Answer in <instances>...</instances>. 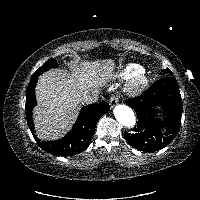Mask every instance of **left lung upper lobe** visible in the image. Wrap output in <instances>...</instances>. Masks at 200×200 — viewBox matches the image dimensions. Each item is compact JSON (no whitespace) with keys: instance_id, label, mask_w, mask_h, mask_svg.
<instances>
[{"instance_id":"1","label":"left lung upper lobe","mask_w":200,"mask_h":200,"mask_svg":"<svg viewBox=\"0 0 200 200\" xmlns=\"http://www.w3.org/2000/svg\"><path fill=\"white\" fill-rule=\"evenodd\" d=\"M164 72H166V73H169V74H172V72L170 71V69H164Z\"/></svg>"}]
</instances>
